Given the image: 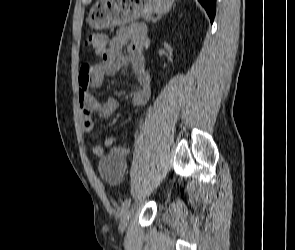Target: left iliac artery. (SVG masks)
Masks as SVG:
<instances>
[{"mask_svg":"<svg viewBox=\"0 0 295 250\" xmlns=\"http://www.w3.org/2000/svg\"><path fill=\"white\" fill-rule=\"evenodd\" d=\"M130 203H131V199H130V198H129V199H126V200L123 202V204H122V208H121V212H122V213L124 212V210H125L127 207L130 206Z\"/></svg>","mask_w":295,"mask_h":250,"instance_id":"left-iliac-artery-1","label":"left iliac artery"}]
</instances>
